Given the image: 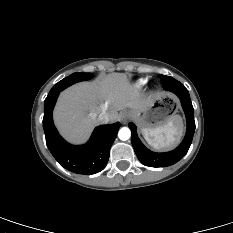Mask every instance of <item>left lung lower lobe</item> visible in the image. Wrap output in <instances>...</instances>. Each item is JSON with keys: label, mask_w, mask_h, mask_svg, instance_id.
<instances>
[{"label": "left lung lower lobe", "mask_w": 233, "mask_h": 233, "mask_svg": "<svg viewBox=\"0 0 233 233\" xmlns=\"http://www.w3.org/2000/svg\"><path fill=\"white\" fill-rule=\"evenodd\" d=\"M164 88L166 91H170L179 97L187 119V131L184 140L176 149L166 153H155L142 144L138 138L135 124L129 123L134 151L140 162L149 167H167L177 163L188 152L195 131L194 110L185 86L175 80L172 84Z\"/></svg>", "instance_id": "obj_1"}]
</instances>
